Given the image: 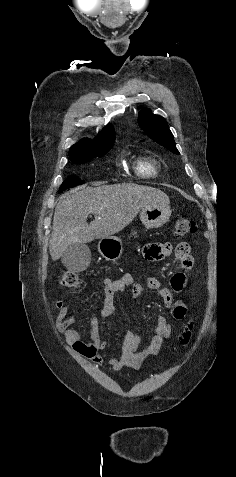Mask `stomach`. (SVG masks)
Listing matches in <instances>:
<instances>
[{
	"label": "stomach",
	"mask_w": 236,
	"mask_h": 477,
	"mask_svg": "<svg viewBox=\"0 0 236 477\" xmlns=\"http://www.w3.org/2000/svg\"><path fill=\"white\" fill-rule=\"evenodd\" d=\"M171 216L169 204H151L144 207L140 212V219L147 229L159 228L163 226ZM131 235L136 237L137 231L132 230ZM100 254L110 261L117 260L123 253V244L120 238L108 236L102 238L98 243Z\"/></svg>",
	"instance_id": "obj_1"
}]
</instances>
